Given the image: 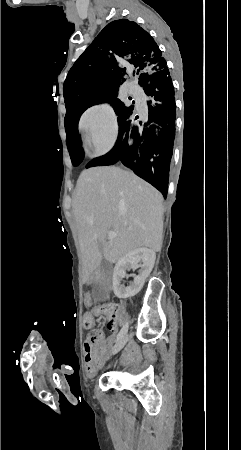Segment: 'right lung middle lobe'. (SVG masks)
I'll use <instances>...</instances> for the list:
<instances>
[{
    "mask_svg": "<svg viewBox=\"0 0 241 450\" xmlns=\"http://www.w3.org/2000/svg\"><path fill=\"white\" fill-rule=\"evenodd\" d=\"M63 93L66 106L65 119L70 115H80L88 107L102 102H109L113 106L118 115V124L134 117V106L126 107L120 99L116 98L118 90L92 86L87 80L73 72H69L67 75ZM69 153L73 166H78L82 162L84 154H79L74 150H69Z\"/></svg>",
    "mask_w": 241,
    "mask_h": 450,
    "instance_id": "obj_1",
    "label": "right lung middle lobe"
}]
</instances>
